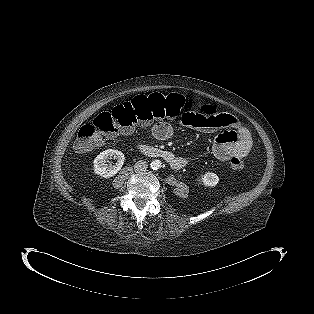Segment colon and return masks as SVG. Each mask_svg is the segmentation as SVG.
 I'll return each instance as SVG.
<instances>
[{
	"label": "colon",
	"instance_id": "colon-1",
	"mask_svg": "<svg viewBox=\"0 0 314 314\" xmlns=\"http://www.w3.org/2000/svg\"><path fill=\"white\" fill-rule=\"evenodd\" d=\"M197 107L179 94L164 96L152 93L136 96L118 105L111 112L100 113L92 123L83 125L74 142V150L78 153L92 151L101 146L105 136L129 132L136 126L147 125L161 119L180 120L184 112H192ZM230 165L237 170L245 167L244 161L237 157L230 160Z\"/></svg>",
	"mask_w": 314,
	"mask_h": 314
}]
</instances>
